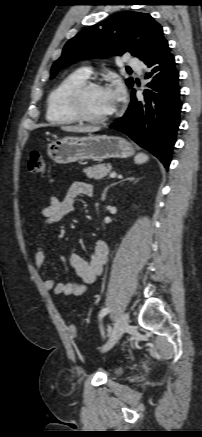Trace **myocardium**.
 <instances>
[{
    "label": "myocardium",
    "mask_w": 202,
    "mask_h": 437,
    "mask_svg": "<svg viewBox=\"0 0 202 437\" xmlns=\"http://www.w3.org/2000/svg\"><path fill=\"white\" fill-rule=\"evenodd\" d=\"M95 88H105L104 85L95 80H85L75 86L69 93L67 98V106L71 114L81 122L90 124H103L112 120L119 112V106L107 116L93 117L84 109V98L87 92Z\"/></svg>",
    "instance_id": "1"
}]
</instances>
